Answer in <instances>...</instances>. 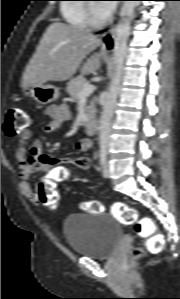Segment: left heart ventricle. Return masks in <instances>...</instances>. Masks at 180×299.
<instances>
[{
  "label": "left heart ventricle",
  "mask_w": 180,
  "mask_h": 299,
  "mask_svg": "<svg viewBox=\"0 0 180 299\" xmlns=\"http://www.w3.org/2000/svg\"><path fill=\"white\" fill-rule=\"evenodd\" d=\"M94 8H95V13H96L97 17L102 18L105 16L103 14V12L100 10L99 4H94Z\"/></svg>",
  "instance_id": "left-heart-ventricle-1"
}]
</instances>
